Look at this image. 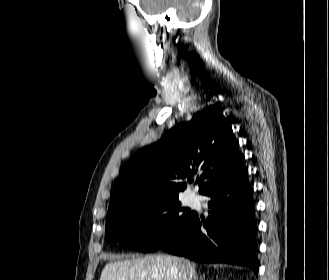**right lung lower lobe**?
<instances>
[{
    "label": "right lung lower lobe",
    "instance_id": "obj_1",
    "mask_svg": "<svg viewBox=\"0 0 329 280\" xmlns=\"http://www.w3.org/2000/svg\"><path fill=\"white\" fill-rule=\"evenodd\" d=\"M201 194L211 198L207 220L195 213L186 228L159 249L196 262L248 266L257 275L255 204L245 165L228 171Z\"/></svg>",
    "mask_w": 329,
    "mask_h": 280
}]
</instances>
